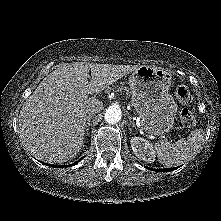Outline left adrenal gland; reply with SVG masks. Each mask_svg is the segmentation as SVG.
Wrapping results in <instances>:
<instances>
[{
  "instance_id": "1",
  "label": "left adrenal gland",
  "mask_w": 221,
  "mask_h": 221,
  "mask_svg": "<svg viewBox=\"0 0 221 221\" xmlns=\"http://www.w3.org/2000/svg\"><path fill=\"white\" fill-rule=\"evenodd\" d=\"M127 114H128V118H129V126L135 127V129H136L135 123L132 121V118H131L129 112Z\"/></svg>"
}]
</instances>
